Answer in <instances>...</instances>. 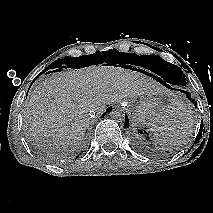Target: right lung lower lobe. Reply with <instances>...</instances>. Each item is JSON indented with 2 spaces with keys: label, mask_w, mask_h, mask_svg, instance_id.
I'll list each match as a JSON object with an SVG mask.
<instances>
[{
  "label": "right lung lower lobe",
  "mask_w": 213,
  "mask_h": 213,
  "mask_svg": "<svg viewBox=\"0 0 213 213\" xmlns=\"http://www.w3.org/2000/svg\"><path fill=\"white\" fill-rule=\"evenodd\" d=\"M61 70H62L61 68H58V69H56L55 71L58 72V71H61ZM48 73H50V72H48ZM110 110H112V107L108 108V109L106 110V113L109 112Z\"/></svg>",
  "instance_id": "98d812e1"
}]
</instances>
